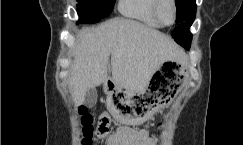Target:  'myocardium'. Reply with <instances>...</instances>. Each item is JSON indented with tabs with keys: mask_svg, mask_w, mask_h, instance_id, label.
<instances>
[{
	"mask_svg": "<svg viewBox=\"0 0 243 145\" xmlns=\"http://www.w3.org/2000/svg\"><path fill=\"white\" fill-rule=\"evenodd\" d=\"M154 6H153V11H154V15L156 17V19L163 25V26H171L176 22L177 19V5H176V1L175 0H167L168 2H170L172 9H173V20L171 23H167L164 21L162 14H161V8L163 3L166 0H154Z\"/></svg>",
	"mask_w": 243,
	"mask_h": 145,
	"instance_id": "f54148a6",
	"label": "myocardium"
}]
</instances>
